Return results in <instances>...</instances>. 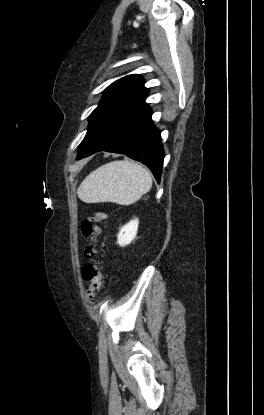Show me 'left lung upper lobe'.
<instances>
[{
    "label": "left lung upper lobe",
    "instance_id": "5c2ea615",
    "mask_svg": "<svg viewBox=\"0 0 264 415\" xmlns=\"http://www.w3.org/2000/svg\"><path fill=\"white\" fill-rule=\"evenodd\" d=\"M146 90L147 88L144 87L143 78L137 74L125 76L109 85L106 88L104 96L102 97L98 107L89 116V125L86 136L104 112L119 102L129 97L141 94Z\"/></svg>",
    "mask_w": 264,
    "mask_h": 415
}]
</instances>
